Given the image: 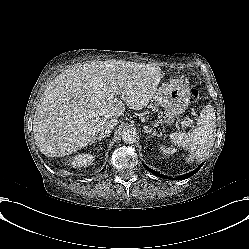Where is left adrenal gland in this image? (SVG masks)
<instances>
[{"label":"left adrenal gland","instance_id":"left-adrenal-gland-1","mask_svg":"<svg viewBox=\"0 0 249 249\" xmlns=\"http://www.w3.org/2000/svg\"><path fill=\"white\" fill-rule=\"evenodd\" d=\"M144 132H146L148 135H153V136H160L159 134H157L155 131H152L151 128H148V126H144Z\"/></svg>","mask_w":249,"mask_h":249}]
</instances>
